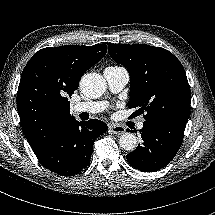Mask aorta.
I'll list each match as a JSON object with an SVG mask.
<instances>
[{
	"label": "aorta",
	"mask_w": 215,
	"mask_h": 215,
	"mask_svg": "<svg viewBox=\"0 0 215 215\" xmlns=\"http://www.w3.org/2000/svg\"><path fill=\"white\" fill-rule=\"evenodd\" d=\"M106 86V80L97 73L86 74L80 80V89L89 98L102 96ZM119 146L125 151L132 152L138 146L137 137L133 133L125 132L119 137Z\"/></svg>",
	"instance_id": "762f6f07"
}]
</instances>
